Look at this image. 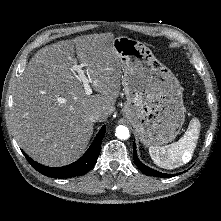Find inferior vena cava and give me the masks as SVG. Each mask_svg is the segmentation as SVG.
Wrapping results in <instances>:
<instances>
[{"instance_id": "1", "label": "inferior vena cava", "mask_w": 221, "mask_h": 221, "mask_svg": "<svg viewBox=\"0 0 221 221\" xmlns=\"http://www.w3.org/2000/svg\"><path fill=\"white\" fill-rule=\"evenodd\" d=\"M100 118H101V113L99 111L95 110V111L90 112L89 114V120L91 122H97L98 120H100Z\"/></svg>"}]
</instances>
